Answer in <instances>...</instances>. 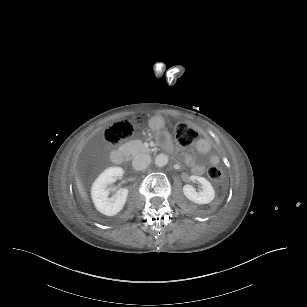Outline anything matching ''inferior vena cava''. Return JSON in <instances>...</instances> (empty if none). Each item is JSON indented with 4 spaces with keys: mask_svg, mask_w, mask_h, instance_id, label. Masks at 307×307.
<instances>
[{
    "mask_svg": "<svg viewBox=\"0 0 307 307\" xmlns=\"http://www.w3.org/2000/svg\"><path fill=\"white\" fill-rule=\"evenodd\" d=\"M132 166L134 169L141 171L148 166V163L143 159L142 156L136 155L132 160Z\"/></svg>",
    "mask_w": 307,
    "mask_h": 307,
    "instance_id": "602c4592",
    "label": "inferior vena cava"
}]
</instances>
